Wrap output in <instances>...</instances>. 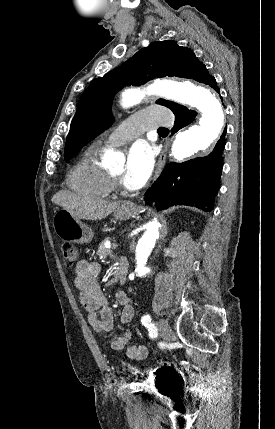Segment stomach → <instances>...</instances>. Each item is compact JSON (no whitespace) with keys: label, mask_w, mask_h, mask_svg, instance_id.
<instances>
[{"label":"stomach","mask_w":275,"mask_h":429,"mask_svg":"<svg viewBox=\"0 0 275 429\" xmlns=\"http://www.w3.org/2000/svg\"><path fill=\"white\" fill-rule=\"evenodd\" d=\"M136 208L129 204H122L114 212L117 220H127L135 214ZM53 227L56 234L67 241L76 243H89L93 238V231L86 224L75 218L65 209L55 213L53 217Z\"/></svg>","instance_id":"0dacf381"}]
</instances>
